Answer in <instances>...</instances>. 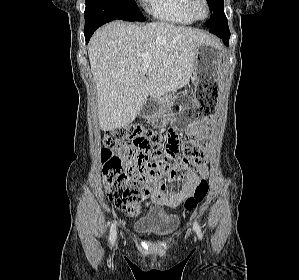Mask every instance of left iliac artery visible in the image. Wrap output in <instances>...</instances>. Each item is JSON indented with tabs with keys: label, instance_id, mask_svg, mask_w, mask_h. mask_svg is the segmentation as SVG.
<instances>
[{
	"label": "left iliac artery",
	"instance_id": "obj_1",
	"mask_svg": "<svg viewBox=\"0 0 299 280\" xmlns=\"http://www.w3.org/2000/svg\"><path fill=\"white\" fill-rule=\"evenodd\" d=\"M193 228H194V230L196 231V233H197V235H198V238H199V239H202L201 229H200V226H199V224H198L197 221L194 222Z\"/></svg>",
	"mask_w": 299,
	"mask_h": 280
}]
</instances>
